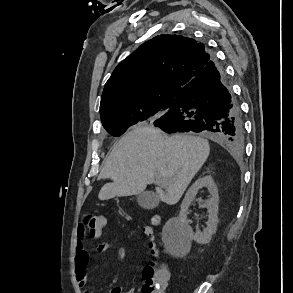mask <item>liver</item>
I'll return each mask as SVG.
<instances>
[{"instance_id":"liver-1","label":"liver","mask_w":293,"mask_h":293,"mask_svg":"<svg viewBox=\"0 0 293 293\" xmlns=\"http://www.w3.org/2000/svg\"><path fill=\"white\" fill-rule=\"evenodd\" d=\"M209 153L204 138L181 134L168 137L158 128L138 125L120 139L106 159L99 178L113 182L101 188L98 198L141 194L147 185L156 183V175H161L163 181L156 186V193L162 202L174 205Z\"/></svg>"}]
</instances>
